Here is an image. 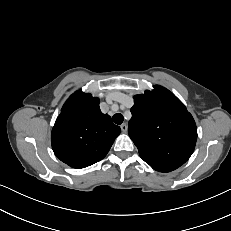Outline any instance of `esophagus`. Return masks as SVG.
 <instances>
[{
    "instance_id": "1",
    "label": "esophagus",
    "mask_w": 231,
    "mask_h": 231,
    "mask_svg": "<svg viewBox=\"0 0 231 231\" xmlns=\"http://www.w3.org/2000/svg\"><path fill=\"white\" fill-rule=\"evenodd\" d=\"M120 127H121L122 132H124V133L127 132L128 127H127L126 123H123Z\"/></svg>"
}]
</instances>
